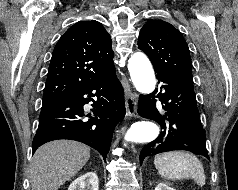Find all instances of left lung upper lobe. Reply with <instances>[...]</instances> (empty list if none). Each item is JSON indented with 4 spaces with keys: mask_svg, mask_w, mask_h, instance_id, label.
Here are the masks:
<instances>
[{
    "mask_svg": "<svg viewBox=\"0 0 238 190\" xmlns=\"http://www.w3.org/2000/svg\"><path fill=\"white\" fill-rule=\"evenodd\" d=\"M138 46L150 58L155 72H166L193 81L188 45L170 23L148 20L139 33Z\"/></svg>",
    "mask_w": 238,
    "mask_h": 190,
    "instance_id": "obj_1",
    "label": "left lung upper lobe"
}]
</instances>
